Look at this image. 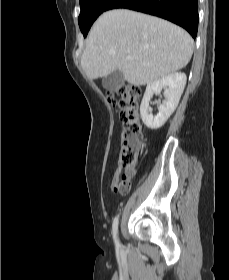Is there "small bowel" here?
<instances>
[{"label":"small bowel","mask_w":229,"mask_h":280,"mask_svg":"<svg viewBox=\"0 0 229 280\" xmlns=\"http://www.w3.org/2000/svg\"><path fill=\"white\" fill-rule=\"evenodd\" d=\"M117 181V176L114 177L113 182ZM121 194H123V192H121Z\"/></svg>","instance_id":"small-bowel-1"}]
</instances>
